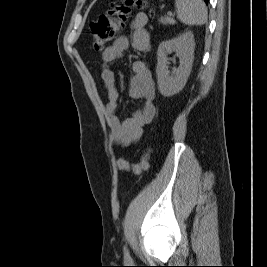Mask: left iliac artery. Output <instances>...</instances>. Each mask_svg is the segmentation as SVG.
I'll use <instances>...</instances> for the list:
<instances>
[{
	"mask_svg": "<svg viewBox=\"0 0 267 267\" xmlns=\"http://www.w3.org/2000/svg\"><path fill=\"white\" fill-rule=\"evenodd\" d=\"M124 257L129 260L130 259V254L128 248L125 246L124 247Z\"/></svg>",
	"mask_w": 267,
	"mask_h": 267,
	"instance_id": "obj_1",
	"label": "left iliac artery"
}]
</instances>
